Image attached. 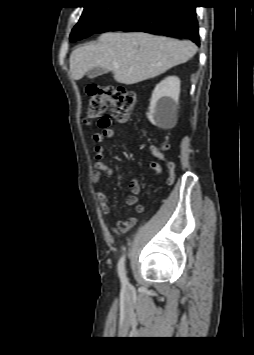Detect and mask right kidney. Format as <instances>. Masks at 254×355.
<instances>
[{
  "mask_svg": "<svg viewBox=\"0 0 254 355\" xmlns=\"http://www.w3.org/2000/svg\"><path fill=\"white\" fill-rule=\"evenodd\" d=\"M180 79L170 76L154 89L150 101L149 121L159 127H169L176 121L179 105Z\"/></svg>",
  "mask_w": 254,
  "mask_h": 355,
  "instance_id": "ca27d5eb",
  "label": "right kidney"
}]
</instances>
